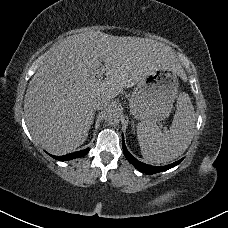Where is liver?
I'll return each mask as SVG.
<instances>
[{
  "instance_id": "1",
  "label": "liver",
  "mask_w": 228,
  "mask_h": 228,
  "mask_svg": "<svg viewBox=\"0 0 228 228\" xmlns=\"http://www.w3.org/2000/svg\"><path fill=\"white\" fill-rule=\"evenodd\" d=\"M102 65L105 79L98 77ZM158 70L184 73L171 48L151 39L99 31L63 39L42 61L25 94L24 116L34 143L56 155L75 151L93 123V96L109 104Z\"/></svg>"
}]
</instances>
